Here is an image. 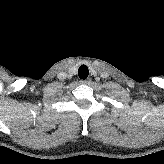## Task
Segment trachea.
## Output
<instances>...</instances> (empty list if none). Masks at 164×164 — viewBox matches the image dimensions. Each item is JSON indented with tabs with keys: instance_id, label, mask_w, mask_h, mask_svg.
Here are the masks:
<instances>
[{
	"instance_id": "1",
	"label": "trachea",
	"mask_w": 164,
	"mask_h": 164,
	"mask_svg": "<svg viewBox=\"0 0 164 164\" xmlns=\"http://www.w3.org/2000/svg\"><path fill=\"white\" fill-rule=\"evenodd\" d=\"M78 75L80 79L85 80L89 75L88 67L86 65H81L78 69Z\"/></svg>"
}]
</instances>
